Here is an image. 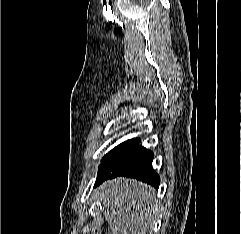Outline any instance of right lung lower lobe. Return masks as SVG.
Here are the masks:
<instances>
[{
	"label": "right lung lower lobe",
	"instance_id": "right-lung-lower-lobe-1",
	"mask_svg": "<svg viewBox=\"0 0 241 234\" xmlns=\"http://www.w3.org/2000/svg\"><path fill=\"white\" fill-rule=\"evenodd\" d=\"M140 139L121 143L104 156L95 186L117 176L136 178L158 188L159 175L152 170L153 153L139 146Z\"/></svg>",
	"mask_w": 241,
	"mask_h": 234
}]
</instances>
